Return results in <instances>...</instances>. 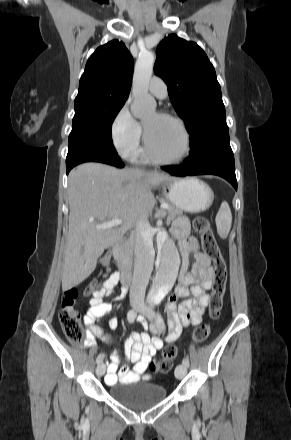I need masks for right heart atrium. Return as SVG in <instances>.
Segmentation results:
<instances>
[{
	"label": "right heart atrium",
	"mask_w": 291,
	"mask_h": 440,
	"mask_svg": "<svg viewBox=\"0 0 291 440\" xmlns=\"http://www.w3.org/2000/svg\"><path fill=\"white\" fill-rule=\"evenodd\" d=\"M142 127L123 105L111 125V139L115 150L125 158H132L140 149Z\"/></svg>",
	"instance_id": "1"
}]
</instances>
